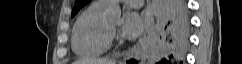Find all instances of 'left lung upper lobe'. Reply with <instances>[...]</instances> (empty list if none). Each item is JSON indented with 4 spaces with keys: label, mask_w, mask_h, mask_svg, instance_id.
<instances>
[{
    "label": "left lung upper lobe",
    "mask_w": 242,
    "mask_h": 64,
    "mask_svg": "<svg viewBox=\"0 0 242 64\" xmlns=\"http://www.w3.org/2000/svg\"><path fill=\"white\" fill-rule=\"evenodd\" d=\"M90 0H76L71 16L74 17L78 11L85 6Z\"/></svg>",
    "instance_id": "obj_1"
}]
</instances>
